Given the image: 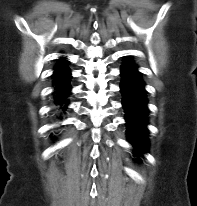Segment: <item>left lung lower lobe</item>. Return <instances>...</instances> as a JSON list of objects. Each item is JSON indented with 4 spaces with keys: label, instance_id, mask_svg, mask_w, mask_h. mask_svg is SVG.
<instances>
[{
    "label": "left lung lower lobe",
    "instance_id": "1",
    "mask_svg": "<svg viewBox=\"0 0 197 206\" xmlns=\"http://www.w3.org/2000/svg\"><path fill=\"white\" fill-rule=\"evenodd\" d=\"M122 81L120 84L123 95L122 105L125 109L127 122V136L130 143L135 147V153L141 155L147 151V99L144 82L138 66L127 58L121 67Z\"/></svg>",
    "mask_w": 197,
    "mask_h": 206
}]
</instances>
